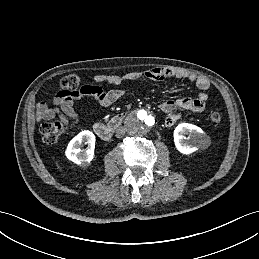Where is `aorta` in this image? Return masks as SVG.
Returning <instances> with one entry per match:
<instances>
[{
  "label": "aorta",
  "mask_w": 259,
  "mask_h": 259,
  "mask_svg": "<svg viewBox=\"0 0 259 259\" xmlns=\"http://www.w3.org/2000/svg\"><path fill=\"white\" fill-rule=\"evenodd\" d=\"M154 123L153 114L149 110L144 109L132 113L126 120L127 130L134 136L146 134Z\"/></svg>",
  "instance_id": "aorta-1"
}]
</instances>
